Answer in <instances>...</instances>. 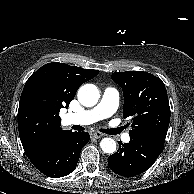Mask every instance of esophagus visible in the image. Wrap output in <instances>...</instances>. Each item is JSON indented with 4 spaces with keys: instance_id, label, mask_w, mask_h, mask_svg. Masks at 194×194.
Returning <instances> with one entry per match:
<instances>
[{
    "instance_id": "1",
    "label": "esophagus",
    "mask_w": 194,
    "mask_h": 194,
    "mask_svg": "<svg viewBox=\"0 0 194 194\" xmlns=\"http://www.w3.org/2000/svg\"><path fill=\"white\" fill-rule=\"evenodd\" d=\"M103 133H100V132H94V133H92V137L93 138H96V139H98V138H101V137H103Z\"/></svg>"
}]
</instances>
